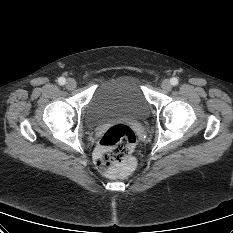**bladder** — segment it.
<instances>
[{"label":"bladder","mask_w":233,"mask_h":233,"mask_svg":"<svg viewBox=\"0 0 233 233\" xmlns=\"http://www.w3.org/2000/svg\"><path fill=\"white\" fill-rule=\"evenodd\" d=\"M144 79L134 72L100 79L85 106L87 125L98 126L115 118L143 120L150 114Z\"/></svg>","instance_id":"1"}]
</instances>
